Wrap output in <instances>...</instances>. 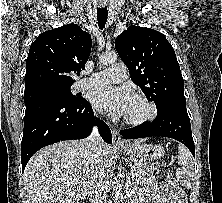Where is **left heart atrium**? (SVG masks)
<instances>
[{"mask_svg": "<svg viewBox=\"0 0 222 203\" xmlns=\"http://www.w3.org/2000/svg\"><path fill=\"white\" fill-rule=\"evenodd\" d=\"M131 100V94L127 89L116 86H102L91 94L94 106L112 116L125 115Z\"/></svg>", "mask_w": 222, "mask_h": 203, "instance_id": "left-heart-atrium-1", "label": "left heart atrium"}]
</instances>
